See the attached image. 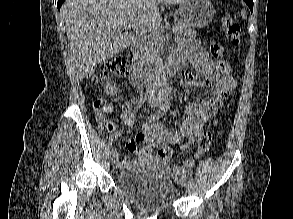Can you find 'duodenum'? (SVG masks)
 Returning a JSON list of instances; mask_svg holds the SVG:
<instances>
[{"instance_id":"1","label":"duodenum","mask_w":293,"mask_h":219,"mask_svg":"<svg viewBox=\"0 0 293 219\" xmlns=\"http://www.w3.org/2000/svg\"><path fill=\"white\" fill-rule=\"evenodd\" d=\"M143 38L139 36L132 46V74L130 83L134 88L142 89L145 86V67L142 60ZM169 75H174L179 69V63L176 60H170L166 66Z\"/></svg>"}]
</instances>
